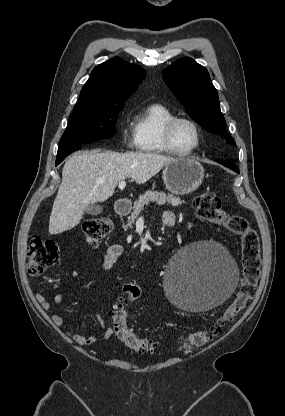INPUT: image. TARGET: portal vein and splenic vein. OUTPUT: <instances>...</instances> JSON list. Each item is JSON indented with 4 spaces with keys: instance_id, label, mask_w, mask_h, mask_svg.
I'll use <instances>...</instances> for the list:
<instances>
[{
    "instance_id": "18ae733b",
    "label": "portal vein and splenic vein",
    "mask_w": 285,
    "mask_h": 416,
    "mask_svg": "<svg viewBox=\"0 0 285 416\" xmlns=\"http://www.w3.org/2000/svg\"><path fill=\"white\" fill-rule=\"evenodd\" d=\"M125 186H126V182H119L118 188L119 190H124Z\"/></svg>"
}]
</instances>
